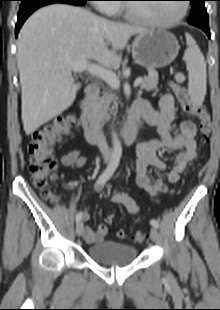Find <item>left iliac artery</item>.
Masks as SVG:
<instances>
[{
    "label": "left iliac artery",
    "mask_w": 220,
    "mask_h": 310,
    "mask_svg": "<svg viewBox=\"0 0 220 310\" xmlns=\"http://www.w3.org/2000/svg\"><path fill=\"white\" fill-rule=\"evenodd\" d=\"M150 224H151L152 226L156 227V228L159 227V222H158L157 220H155V219H152V220L150 221Z\"/></svg>",
    "instance_id": "1"
}]
</instances>
